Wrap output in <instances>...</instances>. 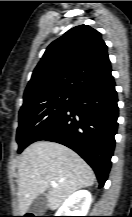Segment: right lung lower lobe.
Returning a JSON list of instances; mask_svg holds the SVG:
<instances>
[{
	"label": "right lung lower lobe",
	"instance_id": "obj_1",
	"mask_svg": "<svg viewBox=\"0 0 132 217\" xmlns=\"http://www.w3.org/2000/svg\"><path fill=\"white\" fill-rule=\"evenodd\" d=\"M117 102L113 78L83 90L37 141L57 142L73 149L93 168L99 187H103L115 146Z\"/></svg>",
	"mask_w": 132,
	"mask_h": 217
}]
</instances>
